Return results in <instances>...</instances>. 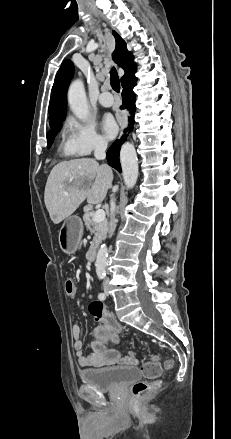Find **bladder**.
I'll return each instance as SVG.
<instances>
[{
  "label": "bladder",
  "instance_id": "1",
  "mask_svg": "<svg viewBox=\"0 0 231 439\" xmlns=\"http://www.w3.org/2000/svg\"><path fill=\"white\" fill-rule=\"evenodd\" d=\"M80 380L100 391H113L140 377L137 367H106L79 372Z\"/></svg>",
  "mask_w": 231,
  "mask_h": 439
}]
</instances>
